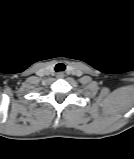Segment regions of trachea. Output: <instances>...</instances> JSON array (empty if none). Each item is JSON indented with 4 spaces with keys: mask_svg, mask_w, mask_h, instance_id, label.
Instances as JSON below:
<instances>
[{
    "mask_svg": "<svg viewBox=\"0 0 134 159\" xmlns=\"http://www.w3.org/2000/svg\"><path fill=\"white\" fill-rule=\"evenodd\" d=\"M66 69V66L63 63H58L55 66V71L56 72H63Z\"/></svg>",
    "mask_w": 134,
    "mask_h": 159,
    "instance_id": "3493384b",
    "label": "trachea"
}]
</instances>
